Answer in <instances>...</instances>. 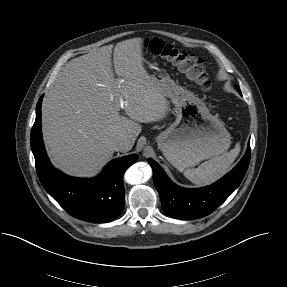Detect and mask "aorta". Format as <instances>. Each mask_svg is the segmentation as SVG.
I'll return each instance as SVG.
<instances>
[{"instance_id":"762f6f07","label":"aorta","mask_w":287,"mask_h":287,"mask_svg":"<svg viewBox=\"0 0 287 287\" xmlns=\"http://www.w3.org/2000/svg\"><path fill=\"white\" fill-rule=\"evenodd\" d=\"M144 169L148 174L151 173L150 167L147 166ZM143 176L144 171L139 167L138 164H135L127 169L124 175V179L128 184L136 185L142 182Z\"/></svg>"}]
</instances>
